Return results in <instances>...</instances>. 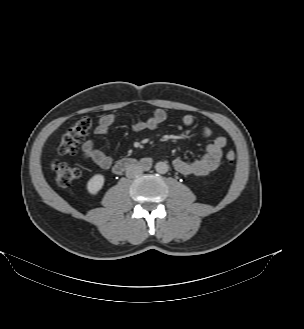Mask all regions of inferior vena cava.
Segmentation results:
<instances>
[{"mask_svg":"<svg viewBox=\"0 0 304 329\" xmlns=\"http://www.w3.org/2000/svg\"><path fill=\"white\" fill-rule=\"evenodd\" d=\"M143 172V168H141L138 165H131L126 170V176L128 178H134L138 175H140Z\"/></svg>","mask_w":304,"mask_h":329,"instance_id":"obj_1","label":"inferior vena cava"}]
</instances>
